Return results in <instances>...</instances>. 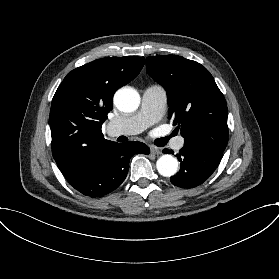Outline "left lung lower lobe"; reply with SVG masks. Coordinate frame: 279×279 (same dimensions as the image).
<instances>
[{
  "instance_id": "obj_1",
  "label": "left lung lower lobe",
  "mask_w": 279,
  "mask_h": 279,
  "mask_svg": "<svg viewBox=\"0 0 279 279\" xmlns=\"http://www.w3.org/2000/svg\"><path fill=\"white\" fill-rule=\"evenodd\" d=\"M165 153H172L164 149ZM221 151L201 145H184L176 155L181 162L180 171L170 181L182 188H193L206 181L222 158Z\"/></svg>"
}]
</instances>
